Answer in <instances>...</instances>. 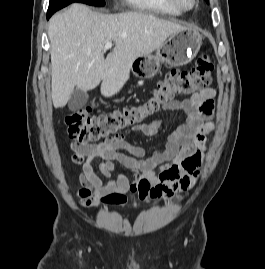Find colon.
Here are the masks:
<instances>
[{"label":"colon","instance_id":"colon-1","mask_svg":"<svg viewBox=\"0 0 265 269\" xmlns=\"http://www.w3.org/2000/svg\"><path fill=\"white\" fill-rule=\"evenodd\" d=\"M213 70L211 58L202 55L192 69L170 71L157 83L150 97L139 105L97 116L90 115V108L72 112L65 119L68 134L81 143L117 137L160 112L176 96H189L208 88ZM163 191L160 186L148 188L151 196H159Z\"/></svg>","mask_w":265,"mask_h":269}]
</instances>
